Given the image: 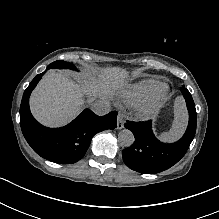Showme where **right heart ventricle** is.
<instances>
[{"instance_id":"right-heart-ventricle-1","label":"right heart ventricle","mask_w":219,"mask_h":219,"mask_svg":"<svg viewBox=\"0 0 219 219\" xmlns=\"http://www.w3.org/2000/svg\"><path fill=\"white\" fill-rule=\"evenodd\" d=\"M160 86L156 80H144L129 87L125 91L124 97L130 103H138L150 97Z\"/></svg>"}]
</instances>
